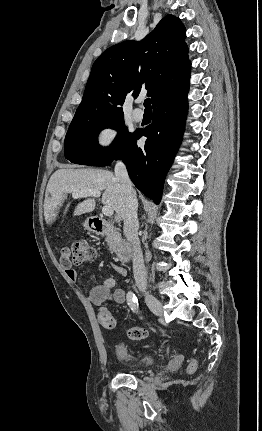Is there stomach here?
<instances>
[{
    "label": "stomach",
    "instance_id": "stomach-1",
    "mask_svg": "<svg viewBox=\"0 0 262 431\" xmlns=\"http://www.w3.org/2000/svg\"><path fill=\"white\" fill-rule=\"evenodd\" d=\"M83 226H84V227H85V229H87V230H91V229H92V226H91V224H90L89 220H86V221L84 222Z\"/></svg>",
    "mask_w": 262,
    "mask_h": 431
}]
</instances>
